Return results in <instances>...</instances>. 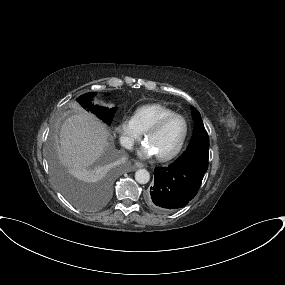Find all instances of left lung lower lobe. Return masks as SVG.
<instances>
[{
	"label": "left lung lower lobe",
	"instance_id": "1",
	"mask_svg": "<svg viewBox=\"0 0 285 285\" xmlns=\"http://www.w3.org/2000/svg\"><path fill=\"white\" fill-rule=\"evenodd\" d=\"M204 173L185 166L156 168L154 185L147 202L150 208L166 213L186 206L197 194Z\"/></svg>",
	"mask_w": 285,
	"mask_h": 285
}]
</instances>
